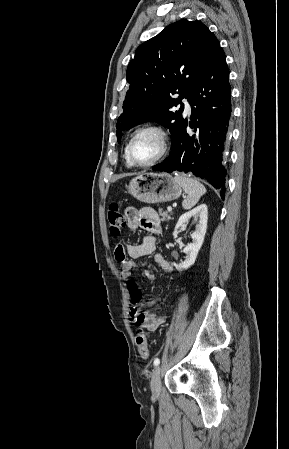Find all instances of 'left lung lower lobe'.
<instances>
[{"instance_id":"0a47b994","label":"left lung lower lobe","mask_w":289,"mask_h":449,"mask_svg":"<svg viewBox=\"0 0 289 449\" xmlns=\"http://www.w3.org/2000/svg\"><path fill=\"white\" fill-rule=\"evenodd\" d=\"M192 120L187 133L184 119L172 137L169 156L154 171H181L207 180L224 199L227 151L231 116V87L225 54L219 47L202 67L188 95Z\"/></svg>"}]
</instances>
